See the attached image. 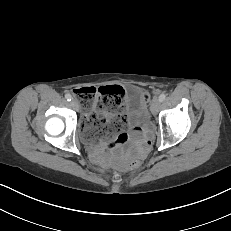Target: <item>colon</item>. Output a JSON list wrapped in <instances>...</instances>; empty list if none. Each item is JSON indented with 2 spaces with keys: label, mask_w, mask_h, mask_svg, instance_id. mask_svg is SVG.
Instances as JSON below:
<instances>
[{
  "label": "colon",
  "mask_w": 231,
  "mask_h": 231,
  "mask_svg": "<svg viewBox=\"0 0 231 231\" xmlns=\"http://www.w3.org/2000/svg\"><path fill=\"white\" fill-rule=\"evenodd\" d=\"M74 94L78 97L83 109L90 110L95 107L107 112L106 115H99L95 111L90 114V121L95 127L106 131L111 136H116L119 142L127 139V118L120 112L125 97V91L122 87L111 85L99 89L81 88L75 89ZM146 99L149 103V95H146ZM109 110L113 112L108 113ZM128 167L137 169L139 162L130 161Z\"/></svg>",
  "instance_id": "1"
}]
</instances>
